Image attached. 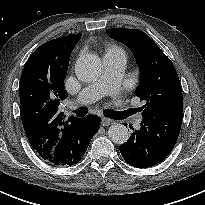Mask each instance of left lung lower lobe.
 <instances>
[{
  "instance_id": "obj_1",
  "label": "left lung lower lobe",
  "mask_w": 205,
  "mask_h": 205,
  "mask_svg": "<svg viewBox=\"0 0 205 205\" xmlns=\"http://www.w3.org/2000/svg\"><path fill=\"white\" fill-rule=\"evenodd\" d=\"M183 114L162 115L143 119L140 129L120 145L124 160L137 168L152 167L163 161L178 139Z\"/></svg>"
}]
</instances>
